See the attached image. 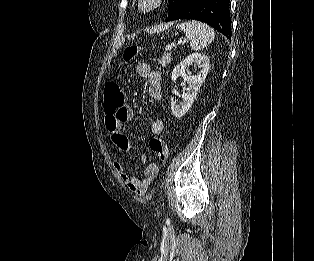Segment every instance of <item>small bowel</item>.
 <instances>
[{"mask_svg":"<svg viewBox=\"0 0 314 261\" xmlns=\"http://www.w3.org/2000/svg\"><path fill=\"white\" fill-rule=\"evenodd\" d=\"M136 72L139 76L144 77L148 81V94L154 101H160L163 98V90L161 84V75L159 72L151 69L147 63H138ZM105 127L111 135V140L115 147L124 152L131 151L133 146L130 139L124 133V124L129 122L133 113L129 106L123 105L117 110L110 112L105 110ZM164 123L160 119H155L151 123V134L160 135L163 132ZM142 162L145 169L142 177H136L129 174L120 163H114L115 172L120 176L128 190L135 195L143 196L146 194L151 182L159 173V165L157 162H149L146 156H142Z\"/></svg>","mask_w":314,"mask_h":261,"instance_id":"obj_1","label":"small bowel"}]
</instances>
